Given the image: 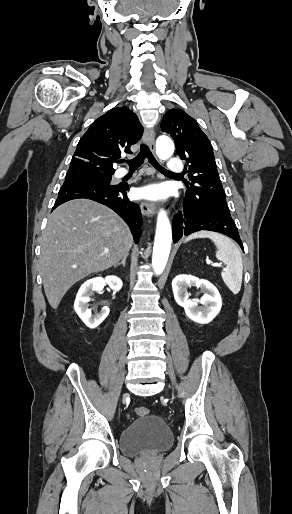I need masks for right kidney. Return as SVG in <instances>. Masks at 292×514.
I'll list each match as a JSON object with an SVG mask.
<instances>
[{
    "mask_svg": "<svg viewBox=\"0 0 292 514\" xmlns=\"http://www.w3.org/2000/svg\"><path fill=\"white\" fill-rule=\"evenodd\" d=\"M108 284L111 290H115V292H119L123 286L122 280L117 278V276H107V278H92V280H87L82 284L74 302V310L76 314H78L79 318H81L82 322L88 326V328H97L105 318H107L110 310L107 306L102 308L99 314H91V310H89L88 302H90L93 292H102L104 286Z\"/></svg>",
    "mask_w": 292,
    "mask_h": 514,
    "instance_id": "ca27d5eb",
    "label": "right kidney"
}]
</instances>
